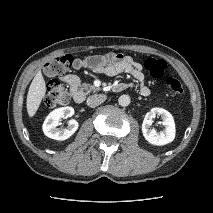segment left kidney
<instances>
[{"instance_id": "5707ae66", "label": "left kidney", "mask_w": 213, "mask_h": 213, "mask_svg": "<svg viewBox=\"0 0 213 213\" xmlns=\"http://www.w3.org/2000/svg\"><path fill=\"white\" fill-rule=\"evenodd\" d=\"M161 116L162 125L165 127L163 131L157 132L151 128L152 119L155 116ZM175 122L173 116L163 108H152L150 112L145 115L142 123V133L144 138L153 145L163 146L171 143L175 138Z\"/></svg>"}]
</instances>
